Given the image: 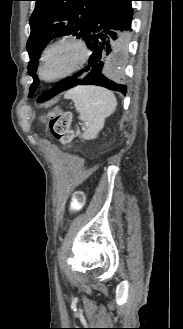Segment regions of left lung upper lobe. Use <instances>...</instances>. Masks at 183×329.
<instances>
[{
  "label": "left lung upper lobe",
  "instance_id": "left-lung-upper-lobe-1",
  "mask_svg": "<svg viewBox=\"0 0 183 329\" xmlns=\"http://www.w3.org/2000/svg\"><path fill=\"white\" fill-rule=\"evenodd\" d=\"M36 6L30 17L31 34L27 42L30 61L28 73L34 81L32 96L39 85L36 69L44 47L54 38L72 35L84 38L97 13L111 0H34Z\"/></svg>",
  "mask_w": 183,
  "mask_h": 329
}]
</instances>
